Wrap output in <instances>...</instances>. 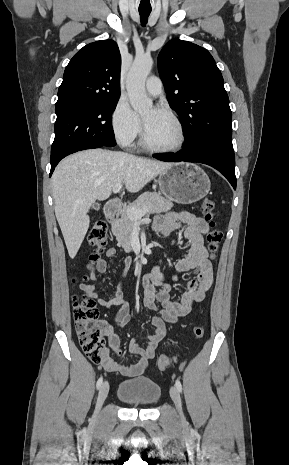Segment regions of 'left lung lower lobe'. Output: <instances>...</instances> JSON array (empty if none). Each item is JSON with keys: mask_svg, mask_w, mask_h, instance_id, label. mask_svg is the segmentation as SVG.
Wrapping results in <instances>:
<instances>
[{"mask_svg": "<svg viewBox=\"0 0 289 465\" xmlns=\"http://www.w3.org/2000/svg\"><path fill=\"white\" fill-rule=\"evenodd\" d=\"M154 158L167 162H198L214 167L236 189L235 155L233 147L204 141L176 153L154 154Z\"/></svg>", "mask_w": 289, "mask_h": 465, "instance_id": "obj_1", "label": "left lung lower lobe"}]
</instances>
